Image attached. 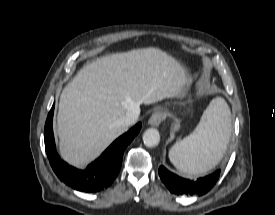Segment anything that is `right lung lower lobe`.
<instances>
[{"instance_id":"98d812e1","label":"right lung lower lobe","mask_w":275,"mask_h":215,"mask_svg":"<svg viewBox=\"0 0 275 215\" xmlns=\"http://www.w3.org/2000/svg\"><path fill=\"white\" fill-rule=\"evenodd\" d=\"M53 111L54 105L45 124V149L58 178L75 190L84 192H98L110 186L120 171L124 150L139 133L141 123L116 139L86 170H78L62 161L56 152L52 130Z\"/></svg>"}]
</instances>
